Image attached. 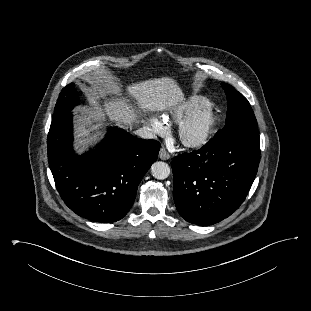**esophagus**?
<instances>
[{
    "instance_id": "1",
    "label": "esophagus",
    "mask_w": 311,
    "mask_h": 311,
    "mask_svg": "<svg viewBox=\"0 0 311 311\" xmlns=\"http://www.w3.org/2000/svg\"><path fill=\"white\" fill-rule=\"evenodd\" d=\"M159 158L161 160H168L170 158V155L165 148H161L159 152Z\"/></svg>"
}]
</instances>
